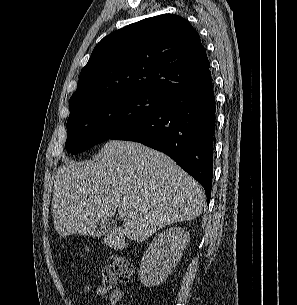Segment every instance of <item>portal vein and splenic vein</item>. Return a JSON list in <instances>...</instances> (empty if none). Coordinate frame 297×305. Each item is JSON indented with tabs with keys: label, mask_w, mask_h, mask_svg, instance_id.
Returning <instances> with one entry per match:
<instances>
[{
	"label": "portal vein and splenic vein",
	"mask_w": 297,
	"mask_h": 305,
	"mask_svg": "<svg viewBox=\"0 0 297 305\" xmlns=\"http://www.w3.org/2000/svg\"><path fill=\"white\" fill-rule=\"evenodd\" d=\"M118 213L123 216L125 214V210L122 208H118Z\"/></svg>",
	"instance_id": "obj_1"
}]
</instances>
